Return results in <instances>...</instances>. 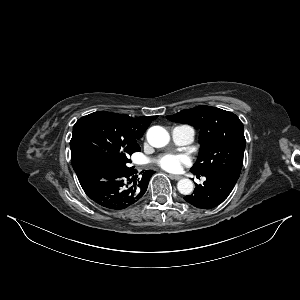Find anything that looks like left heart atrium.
I'll use <instances>...</instances> for the list:
<instances>
[{
	"mask_svg": "<svg viewBox=\"0 0 300 300\" xmlns=\"http://www.w3.org/2000/svg\"><path fill=\"white\" fill-rule=\"evenodd\" d=\"M188 163L189 159L186 156L177 154H165L156 160V164L160 168L169 172H177Z\"/></svg>",
	"mask_w": 300,
	"mask_h": 300,
	"instance_id": "left-heart-atrium-1",
	"label": "left heart atrium"
}]
</instances>
